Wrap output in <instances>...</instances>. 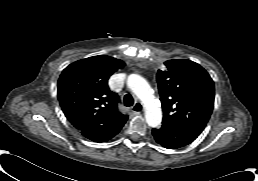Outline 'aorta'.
<instances>
[{
    "instance_id": "aorta-1",
    "label": "aorta",
    "mask_w": 258,
    "mask_h": 181,
    "mask_svg": "<svg viewBox=\"0 0 258 181\" xmlns=\"http://www.w3.org/2000/svg\"><path fill=\"white\" fill-rule=\"evenodd\" d=\"M127 86L144 104L147 124L158 127L162 121V111L147 81L140 75L131 74L128 76Z\"/></svg>"
}]
</instances>
